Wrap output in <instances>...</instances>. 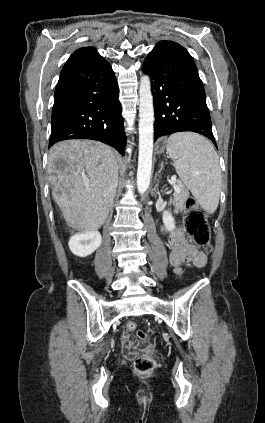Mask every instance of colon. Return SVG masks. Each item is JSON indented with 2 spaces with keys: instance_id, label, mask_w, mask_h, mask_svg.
Instances as JSON below:
<instances>
[{
  "instance_id": "obj_1",
  "label": "colon",
  "mask_w": 265,
  "mask_h": 423,
  "mask_svg": "<svg viewBox=\"0 0 265 423\" xmlns=\"http://www.w3.org/2000/svg\"><path fill=\"white\" fill-rule=\"evenodd\" d=\"M186 215H185V227L188 235L192 238L193 242L199 246H202L206 251L212 250L210 242V228L205 216V213L199 207L198 203L193 197H188L185 201ZM126 329L130 332H136L137 337L141 341L144 348L149 349V337L148 335L137 330V324L130 321L126 325ZM156 363L154 359L141 356L135 360L134 367L136 372L140 374L151 373L155 369Z\"/></svg>"
}]
</instances>
